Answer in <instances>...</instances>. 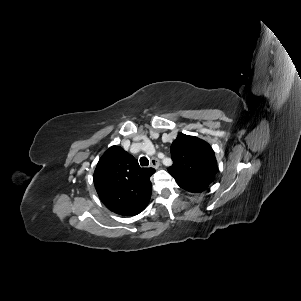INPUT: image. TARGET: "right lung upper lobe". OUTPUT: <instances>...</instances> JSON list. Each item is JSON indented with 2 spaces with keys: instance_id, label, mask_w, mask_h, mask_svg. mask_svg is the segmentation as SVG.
Instances as JSON below:
<instances>
[{
  "instance_id": "obj_1",
  "label": "right lung upper lobe",
  "mask_w": 301,
  "mask_h": 301,
  "mask_svg": "<svg viewBox=\"0 0 301 301\" xmlns=\"http://www.w3.org/2000/svg\"><path fill=\"white\" fill-rule=\"evenodd\" d=\"M153 168H141L138 161L119 146L110 147L100 158L94 172L96 191L111 211L134 216L148 205Z\"/></svg>"
}]
</instances>
